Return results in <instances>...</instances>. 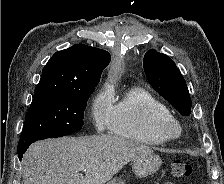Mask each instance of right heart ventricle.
<instances>
[{
  "mask_svg": "<svg viewBox=\"0 0 224 184\" xmlns=\"http://www.w3.org/2000/svg\"><path fill=\"white\" fill-rule=\"evenodd\" d=\"M168 116L169 108L150 91L132 87L113 102L109 128L115 135L145 145H161L166 140L156 133L155 126L158 119Z\"/></svg>",
  "mask_w": 224,
  "mask_h": 184,
  "instance_id": "1",
  "label": "right heart ventricle"
}]
</instances>
